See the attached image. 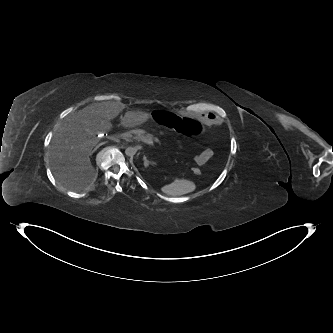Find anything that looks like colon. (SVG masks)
I'll list each match as a JSON object with an SVG mask.
<instances>
[{"label": "colon", "mask_w": 333, "mask_h": 333, "mask_svg": "<svg viewBox=\"0 0 333 333\" xmlns=\"http://www.w3.org/2000/svg\"><path fill=\"white\" fill-rule=\"evenodd\" d=\"M153 121L158 126L169 128L188 137H202L206 135L205 126L197 120L191 118H181L175 111H166L158 109L153 114ZM200 174V170H194Z\"/></svg>", "instance_id": "5ec220e1"}]
</instances>
